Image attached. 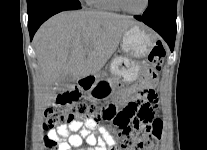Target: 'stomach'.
Wrapping results in <instances>:
<instances>
[{
	"instance_id": "stomach-1",
	"label": "stomach",
	"mask_w": 207,
	"mask_h": 150,
	"mask_svg": "<svg viewBox=\"0 0 207 150\" xmlns=\"http://www.w3.org/2000/svg\"><path fill=\"white\" fill-rule=\"evenodd\" d=\"M154 43V33L144 25L136 24L128 28L122 36V53H118L110 64L111 73L119 81L109 78L96 79L88 90V95L94 99L111 98L117 95L121 83L137 81L144 72L141 59L150 53Z\"/></svg>"
}]
</instances>
